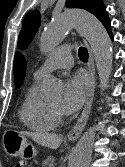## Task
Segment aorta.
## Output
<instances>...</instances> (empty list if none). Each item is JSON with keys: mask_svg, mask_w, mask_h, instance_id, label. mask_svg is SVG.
<instances>
[{"mask_svg": "<svg viewBox=\"0 0 125 167\" xmlns=\"http://www.w3.org/2000/svg\"><path fill=\"white\" fill-rule=\"evenodd\" d=\"M73 27H75L89 42L95 56L96 66L101 87H107L112 70L113 49L111 39L101 22L85 11H71L62 14L51 22L43 31L40 44L44 51H51L58 46ZM61 84L51 78L45 90V97L51 98L60 95ZM95 132L89 128L81 137L73 150L69 167H89Z\"/></svg>", "mask_w": 125, "mask_h": 167, "instance_id": "1", "label": "aorta"}]
</instances>
